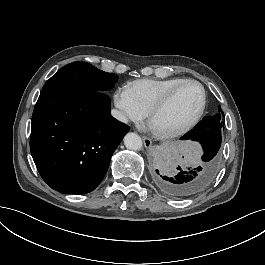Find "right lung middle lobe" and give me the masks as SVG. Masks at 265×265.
Listing matches in <instances>:
<instances>
[{
    "instance_id": "1",
    "label": "right lung middle lobe",
    "mask_w": 265,
    "mask_h": 265,
    "mask_svg": "<svg viewBox=\"0 0 265 265\" xmlns=\"http://www.w3.org/2000/svg\"><path fill=\"white\" fill-rule=\"evenodd\" d=\"M118 76L106 73L86 62H73L61 68L44 85L42 91L104 92L113 87Z\"/></svg>"
}]
</instances>
